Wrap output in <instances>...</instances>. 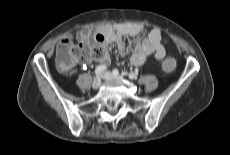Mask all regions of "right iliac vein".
Returning a JSON list of instances; mask_svg holds the SVG:
<instances>
[{"instance_id":"1","label":"right iliac vein","mask_w":230,"mask_h":155,"mask_svg":"<svg viewBox=\"0 0 230 155\" xmlns=\"http://www.w3.org/2000/svg\"><path fill=\"white\" fill-rule=\"evenodd\" d=\"M101 85V77L100 76H97L94 81H93V89H98Z\"/></svg>"}]
</instances>
